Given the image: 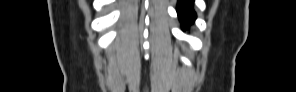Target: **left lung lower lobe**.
I'll return each mask as SVG.
<instances>
[{
	"label": "left lung lower lobe",
	"mask_w": 296,
	"mask_h": 92,
	"mask_svg": "<svg viewBox=\"0 0 296 92\" xmlns=\"http://www.w3.org/2000/svg\"><path fill=\"white\" fill-rule=\"evenodd\" d=\"M194 0H179L177 5V12L179 19L183 25L192 24L196 18L193 10Z\"/></svg>",
	"instance_id": "left-lung-lower-lobe-1"
}]
</instances>
